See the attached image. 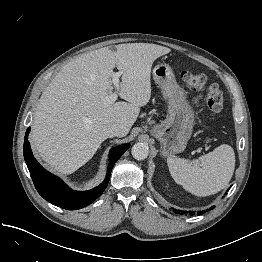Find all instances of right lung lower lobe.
Listing matches in <instances>:
<instances>
[{
  "mask_svg": "<svg viewBox=\"0 0 262 262\" xmlns=\"http://www.w3.org/2000/svg\"><path fill=\"white\" fill-rule=\"evenodd\" d=\"M29 131L30 128L27 129L24 139V158L34 185L39 194L48 202L68 210L83 208L103 193L108 185L114 164L130 146L125 144L111 149L107 175L99 186L89 191H74L61 179L46 171L33 157L28 141Z\"/></svg>",
  "mask_w": 262,
  "mask_h": 262,
  "instance_id": "right-lung-lower-lobe-1",
  "label": "right lung lower lobe"
}]
</instances>
